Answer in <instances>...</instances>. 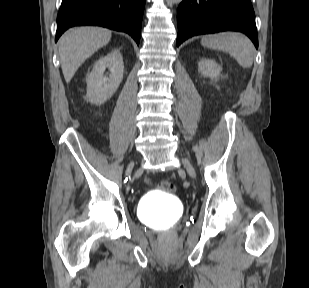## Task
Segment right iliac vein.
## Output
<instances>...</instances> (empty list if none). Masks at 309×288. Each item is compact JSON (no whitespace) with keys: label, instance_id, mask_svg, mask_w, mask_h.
Returning a JSON list of instances; mask_svg holds the SVG:
<instances>
[{"label":"right iliac vein","instance_id":"63e3f726","mask_svg":"<svg viewBox=\"0 0 309 288\" xmlns=\"http://www.w3.org/2000/svg\"><path fill=\"white\" fill-rule=\"evenodd\" d=\"M133 168V164H129V166L127 167V173H130L132 171Z\"/></svg>","mask_w":309,"mask_h":288}]
</instances>
